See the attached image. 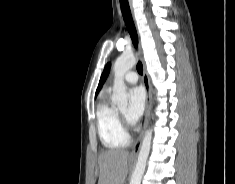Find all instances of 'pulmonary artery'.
<instances>
[{"instance_id": "obj_1", "label": "pulmonary artery", "mask_w": 235, "mask_h": 184, "mask_svg": "<svg viewBox=\"0 0 235 184\" xmlns=\"http://www.w3.org/2000/svg\"><path fill=\"white\" fill-rule=\"evenodd\" d=\"M138 78H139L138 74L136 72H134V71L126 72L123 75V77H122L123 81L128 83V84H135V83H137Z\"/></svg>"}]
</instances>
